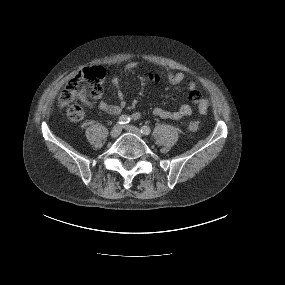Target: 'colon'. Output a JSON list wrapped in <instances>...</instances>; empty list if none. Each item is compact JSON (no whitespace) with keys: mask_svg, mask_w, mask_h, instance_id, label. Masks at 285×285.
I'll list each match as a JSON object with an SVG mask.
<instances>
[{"mask_svg":"<svg viewBox=\"0 0 285 285\" xmlns=\"http://www.w3.org/2000/svg\"><path fill=\"white\" fill-rule=\"evenodd\" d=\"M104 70L99 66L84 68L74 78L68 81L59 96V105L67 107V115L72 121H80L84 117L82 102L88 104L89 99L97 98L102 93ZM199 129L197 121L188 124V130L195 132Z\"/></svg>","mask_w":285,"mask_h":285,"instance_id":"colon-1","label":"colon"}]
</instances>
